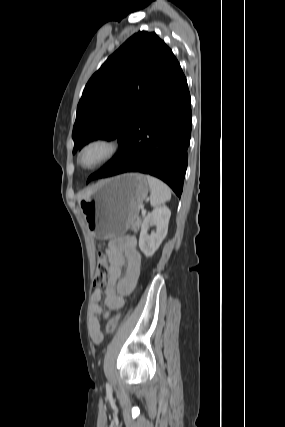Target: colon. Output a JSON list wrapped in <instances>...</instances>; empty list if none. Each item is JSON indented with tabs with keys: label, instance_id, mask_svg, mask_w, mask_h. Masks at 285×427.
I'll return each instance as SVG.
<instances>
[{
	"label": "colon",
	"instance_id": "5ec220e1",
	"mask_svg": "<svg viewBox=\"0 0 285 427\" xmlns=\"http://www.w3.org/2000/svg\"><path fill=\"white\" fill-rule=\"evenodd\" d=\"M99 255H98V262H97V266H96V270H95V275H94V279H93V286L95 288H101L105 285L107 278H108V271H109V267L106 261V257L104 255L103 252V245L100 244L99 245ZM120 316L119 315H115L114 317H112L109 322L106 325V331L108 333H112L115 331L117 324L119 322Z\"/></svg>",
	"mask_w": 285,
	"mask_h": 427
}]
</instances>
